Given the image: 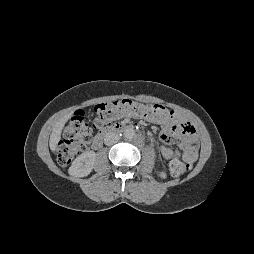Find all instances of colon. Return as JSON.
<instances>
[{
	"label": "colon",
	"mask_w": 254,
	"mask_h": 254,
	"mask_svg": "<svg viewBox=\"0 0 254 254\" xmlns=\"http://www.w3.org/2000/svg\"><path fill=\"white\" fill-rule=\"evenodd\" d=\"M172 115L173 111L161 104H146L131 99H122L96 105L93 109V122L96 128H103L124 116L161 122L169 120ZM91 132L85 113H76L63 130L62 139L58 145L59 164L70 163L84 149L91 137ZM190 169L189 163L177 159L169 164V171L173 176L184 175Z\"/></svg>",
	"instance_id": "obj_1"
}]
</instances>
